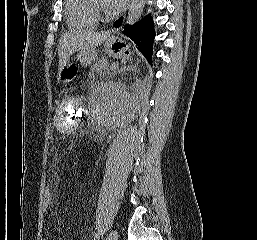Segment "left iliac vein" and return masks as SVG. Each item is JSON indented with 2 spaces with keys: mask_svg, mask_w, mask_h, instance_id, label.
<instances>
[{
  "mask_svg": "<svg viewBox=\"0 0 257 240\" xmlns=\"http://www.w3.org/2000/svg\"><path fill=\"white\" fill-rule=\"evenodd\" d=\"M118 232L117 230H112L107 237L105 238V240H118Z\"/></svg>",
  "mask_w": 257,
  "mask_h": 240,
  "instance_id": "1",
  "label": "left iliac vein"
}]
</instances>
